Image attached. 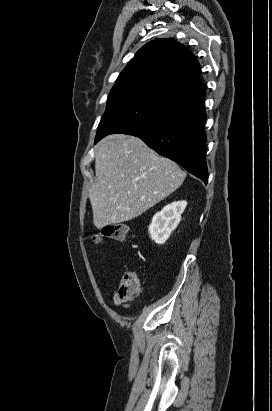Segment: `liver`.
<instances>
[{"mask_svg": "<svg viewBox=\"0 0 272 411\" xmlns=\"http://www.w3.org/2000/svg\"><path fill=\"white\" fill-rule=\"evenodd\" d=\"M95 173L89 199L97 229L140 216L179 188L186 177L175 162L126 134H113L100 142Z\"/></svg>", "mask_w": 272, "mask_h": 411, "instance_id": "obj_1", "label": "liver"}]
</instances>
